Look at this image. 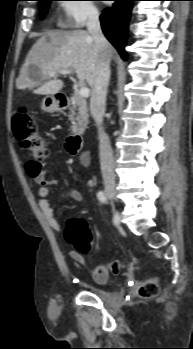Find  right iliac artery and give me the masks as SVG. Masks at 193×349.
I'll list each match as a JSON object with an SVG mask.
<instances>
[{"label":"right iliac artery","instance_id":"82829eb1","mask_svg":"<svg viewBox=\"0 0 193 349\" xmlns=\"http://www.w3.org/2000/svg\"><path fill=\"white\" fill-rule=\"evenodd\" d=\"M97 198H98V200L100 201V202H102V203H107L108 201H107V196H106V194L103 192V191H99L98 193H97Z\"/></svg>","mask_w":193,"mask_h":349}]
</instances>
